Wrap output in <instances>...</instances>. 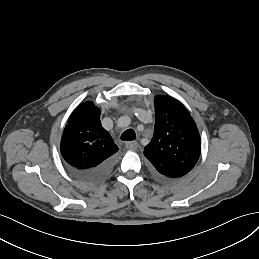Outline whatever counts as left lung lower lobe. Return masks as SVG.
I'll return each mask as SVG.
<instances>
[{"label": "left lung lower lobe", "mask_w": 259, "mask_h": 259, "mask_svg": "<svg viewBox=\"0 0 259 259\" xmlns=\"http://www.w3.org/2000/svg\"><path fill=\"white\" fill-rule=\"evenodd\" d=\"M162 179H165V180H167L166 178H164V177H161Z\"/></svg>", "instance_id": "left-lung-lower-lobe-1"}]
</instances>
